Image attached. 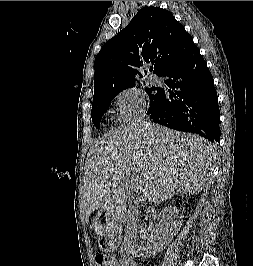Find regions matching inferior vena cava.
<instances>
[{
  "label": "inferior vena cava",
  "mask_w": 253,
  "mask_h": 266,
  "mask_svg": "<svg viewBox=\"0 0 253 266\" xmlns=\"http://www.w3.org/2000/svg\"><path fill=\"white\" fill-rule=\"evenodd\" d=\"M127 218L129 219L130 217L127 215ZM130 220V219H129ZM129 228V230H130V227H128Z\"/></svg>",
  "instance_id": "inferior-vena-cava-1"
}]
</instances>
